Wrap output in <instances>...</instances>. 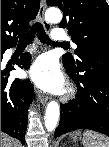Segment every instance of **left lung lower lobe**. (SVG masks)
Listing matches in <instances>:
<instances>
[{"instance_id": "left-lung-lower-lobe-1", "label": "left lung lower lobe", "mask_w": 109, "mask_h": 147, "mask_svg": "<svg viewBox=\"0 0 109 147\" xmlns=\"http://www.w3.org/2000/svg\"><path fill=\"white\" fill-rule=\"evenodd\" d=\"M80 57L75 69L64 65L78 92L75 99L61 105L55 138L77 129H90L109 136V55L88 51Z\"/></svg>"}]
</instances>
